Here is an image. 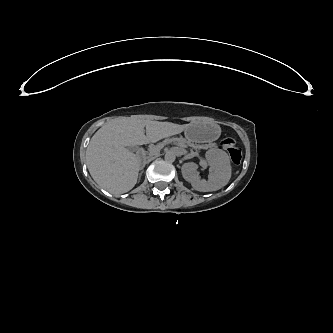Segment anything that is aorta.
<instances>
[{
  "mask_svg": "<svg viewBox=\"0 0 333 333\" xmlns=\"http://www.w3.org/2000/svg\"><path fill=\"white\" fill-rule=\"evenodd\" d=\"M165 161L166 162H169V163H172V162H174L175 161V159H176V155H175V153L174 152H172V151H168L166 154H165Z\"/></svg>",
  "mask_w": 333,
  "mask_h": 333,
  "instance_id": "1",
  "label": "aorta"
}]
</instances>
